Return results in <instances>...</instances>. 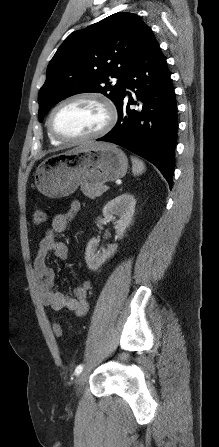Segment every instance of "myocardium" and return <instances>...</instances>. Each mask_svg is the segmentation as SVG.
<instances>
[{
  "instance_id": "obj_1",
  "label": "myocardium",
  "mask_w": 219,
  "mask_h": 447,
  "mask_svg": "<svg viewBox=\"0 0 219 447\" xmlns=\"http://www.w3.org/2000/svg\"><path fill=\"white\" fill-rule=\"evenodd\" d=\"M80 100L93 101V102L99 104L104 109L106 118H105V122H104L103 126L99 130L95 131L94 133H91L89 135L82 136V137L70 138V137L60 135L59 133H57V131L55 130L54 125H53V119H54L55 113L62 106L66 105L68 103L80 101ZM117 117H118L117 109H116L114 103L107 96H105L101 93H97V92L85 91V92H78V93L72 94L70 96H67L66 98H64L60 102H58L49 114L48 121H47V127H48V132L50 133V135L53 136L55 139L59 140L60 142L82 143V142L100 138V137L106 135L107 133H109L112 130V128L114 127V125L117 121Z\"/></svg>"
}]
</instances>
